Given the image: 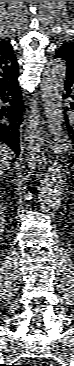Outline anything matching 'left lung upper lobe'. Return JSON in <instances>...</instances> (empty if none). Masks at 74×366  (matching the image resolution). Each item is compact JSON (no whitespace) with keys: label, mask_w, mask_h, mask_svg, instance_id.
I'll return each instance as SVG.
<instances>
[{"label":"left lung upper lobe","mask_w":74,"mask_h":366,"mask_svg":"<svg viewBox=\"0 0 74 366\" xmlns=\"http://www.w3.org/2000/svg\"><path fill=\"white\" fill-rule=\"evenodd\" d=\"M55 57L65 60L67 69L74 71V42H67L63 44L56 51Z\"/></svg>","instance_id":"5c2ea615"}]
</instances>
